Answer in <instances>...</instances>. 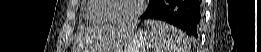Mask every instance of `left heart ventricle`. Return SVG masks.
<instances>
[{
    "label": "left heart ventricle",
    "mask_w": 261,
    "mask_h": 52,
    "mask_svg": "<svg viewBox=\"0 0 261 52\" xmlns=\"http://www.w3.org/2000/svg\"><path fill=\"white\" fill-rule=\"evenodd\" d=\"M113 6L110 15L113 18H127L139 6V0H111Z\"/></svg>",
    "instance_id": "b2bd125f"
}]
</instances>
